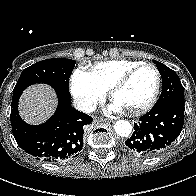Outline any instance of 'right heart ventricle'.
Instances as JSON below:
<instances>
[{
	"mask_svg": "<svg viewBox=\"0 0 196 196\" xmlns=\"http://www.w3.org/2000/svg\"><path fill=\"white\" fill-rule=\"evenodd\" d=\"M140 61L118 59L96 63L90 73L95 81L106 91L127 71L141 64Z\"/></svg>",
	"mask_w": 196,
	"mask_h": 196,
	"instance_id": "e07e8e85",
	"label": "right heart ventricle"
}]
</instances>
